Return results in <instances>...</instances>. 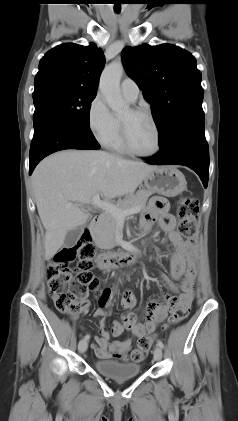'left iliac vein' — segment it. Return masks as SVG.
<instances>
[{"instance_id":"left-iliac-vein-1","label":"left iliac vein","mask_w":238,"mask_h":421,"mask_svg":"<svg viewBox=\"0 0 238 421\" xmlns=\"http://www.w3.org/2000/svg\"><path fill=\"white\" fill-rule=\"evenodd\" d=\"M153 354H154V359L155 360H157V361L161 360V358H162V349H161V347L156 346L155 349H154Z\"/></svg>"}]
</instances>
